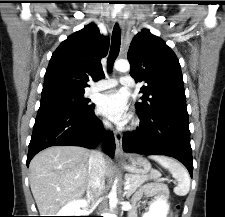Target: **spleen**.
<instances>
[{
    "label": "spleen",
    "mask_w": 225,
    "mask_h": 217,
    "mask_svg": "<svg viewBox=\"0 0 225 217\" xmlns=\"http://www.w3.org/2000/svg\"><path fill=\"white\" fill-rule=\"evenodd\" d=\"M149 158L168 169L172 176L177 180L178 184L174 188L175 194L178 196H185L188 194L190 190V176L182 164L173 158L162 155H151Z\"/></svg>",
    "instance_id": "1"
}]
</instances>
